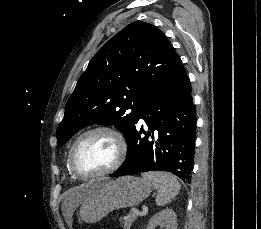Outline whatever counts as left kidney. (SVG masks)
Instances as JSON below:
<instances>
[{"instance_id": "obj_1", "label": "left kidney", "mask_w": 261, "mask_h": 229, "mask_svg": "<svg viewBox=\"0 0 261 229\" xmlns=\"http://www.w3.org/2000/svg\"><path fill=\"white\" fill-rule=\"evenodd\" d=\"M157 225H163L165 229H177L176 213H174L172 209H164V211L156 213V215L150 219L147 229H155Z\"/></svg>"}]
</instances>
